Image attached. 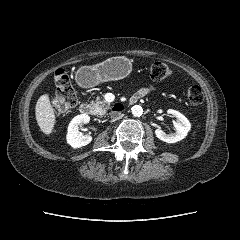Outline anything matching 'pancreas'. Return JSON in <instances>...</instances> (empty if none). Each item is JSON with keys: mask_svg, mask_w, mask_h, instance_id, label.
<instances>
[{"mask_svg": "<svg viewBox=\"0 0 240 240\" xmlns=\"http://www.w3.org/2000/svg\"><path fill=\"white\" fill-rule=\"evenodd\" d=\"M92 107L95 109L96 114L104 115L107 110L111 108V104L107 103L105 100H100V98L97 97L95 101H92Z\"/></svg>", "mask_w": 240, "mask_h": 240, "instance_id": "obj_1", "label": "pancreas"}]
</instances>
